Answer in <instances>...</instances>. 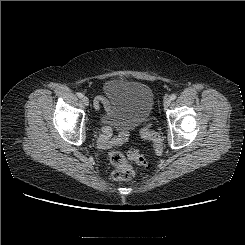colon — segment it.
Returning <instances> with one entry per match:
<instances>
[{"label": "colon", "mask_w": 245, "mask_h": 245, "mask_svg": "<svg viewBox=\"0 0 245 245\" xmlns=\"http://www.w3.org/2000/svg\"><path fill=\"white\" fill-rule=\"evenodd\" d=\"M140 135L142 138L152 142L155 154L161 153L162 138L157 132L145 126L140 129ZM109 160L115 168L112 172V177L116 181H128L134 178L135 170L131 162L138 165L147 164V158L135 149L130 150L127 156L116 150L111 151Z\"/></svg>", "instance_id": "5ec220e1"}]
</instances>
